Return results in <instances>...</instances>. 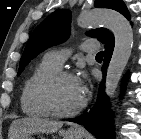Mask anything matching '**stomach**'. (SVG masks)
<instances>
[{
    "instance_id": "stomach-1",
    "label": "stomach",
    "mask_w": 141,
    "mask_h": 139,
    "mask_svg": "<svg viewBox=\"0 0 141 139\" xmlns=\"http://www.w3.org/2000/svg\"><path fill=\"white\" fill-rule=\"evenodd\" d=\"M25 139H34V138H32L31 136H28ZM63 139H82V135L79 132L68 130L64 133Z\"/></svg>"
}]
</instances>
